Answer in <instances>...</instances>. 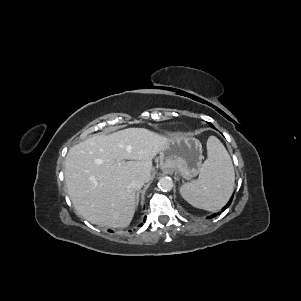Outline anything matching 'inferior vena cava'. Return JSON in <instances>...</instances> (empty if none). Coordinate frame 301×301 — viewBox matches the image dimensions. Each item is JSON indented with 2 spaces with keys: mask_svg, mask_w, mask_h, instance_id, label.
I'll list each match as a JSON object with an SVG mask.
<instances>
[{
  "mask_svg": "<svg viewBox=\"0 0 301 301\" xmlns=\"http://www.w3.org/2000/svg\"><path fill=\"white\" fill-rule=\"evenodd\" d=\"M146 180L144 176H137L135 177L132 182H131V187L134 190H139L143 187V185L145 184Z\"/></svg>",
  "mask_w": 301,
  "mask_h": 301,
  "instance_id": "602c4592",
  "label": "inferior vena cava"
}]
</instances>
